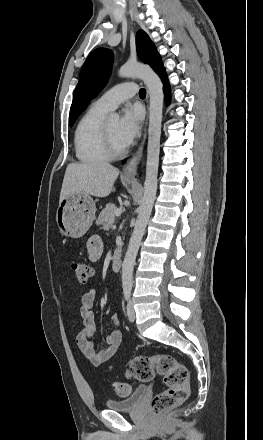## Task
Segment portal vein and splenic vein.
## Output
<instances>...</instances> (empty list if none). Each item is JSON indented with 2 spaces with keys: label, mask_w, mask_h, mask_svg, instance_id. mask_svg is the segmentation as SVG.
Returning <instances> with one entry per match:
<instances>
[{
  "label": "portal vein and splenic vein",
  "mask_w": 263,
  "mask_h": 440,
  "mask_svg": "<svg viewBox=\"0 0 263 440\" xmlns=\"http://www.w3.org/2000/svg\"><path fill=\"white\" fill-rule=\"evenodd\" d=\"M115 214H116L117 216H119V215L121 214V210H117V211H115Z\"/></svg>",
  "instance_id": "18ae733b"
}]
</instances>
